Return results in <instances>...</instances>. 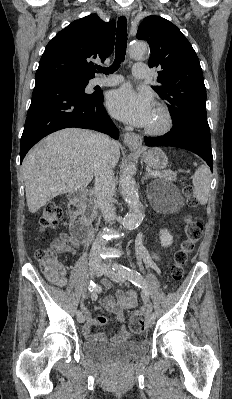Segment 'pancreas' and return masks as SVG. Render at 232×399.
I'll return each mask as SVG.
<instances>
[{
  "instance_id": "1",
  "label": "pancreas",
  "mask_w": 232,
  "mask_h": 399,
  "mask_svg": "<svg viewBox=\"0 0 232 399\" xmlns=\"http://www.w3.org/2000/svg\"><path fill=\"white\" fill-rule=\"evenodd\" d=\"M152 176V174H151ZM153 178H164V180H170V182H176V174L174 172H171V170H166V172H162L161 176H153ZM89 205L87 207V211H89V217L90 219H94L98 207L97 200H94V198H89Z\"/></svg>"
}]
</instances>
